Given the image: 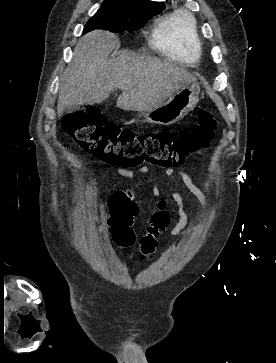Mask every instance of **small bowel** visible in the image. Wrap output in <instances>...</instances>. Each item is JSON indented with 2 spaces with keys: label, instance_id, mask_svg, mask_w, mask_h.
I'll list each match as a JSON object with an SVG mask.
<instances>
[{
  "label": "small bowel",
  "instance_id": "c3829d8e",
  "mask_svg": "<svg viewBox=\"0 0 276 363\" xmlns=\"http://www.w3.org/2000/svg\"><path fill=\"white\" fill-rule=\"evenodd\" d=\"M139 171L142 173H147L149 171V168L147 166H140ZM114 172L128 179L133 178L134 176L132 170L123 167L116 168ZM165 173L168 177H170L174 174V170L172 168H167ZM178 173L186 188L198 200V202L202 206L203 211L205 212L209 206L210 196H211V187L209 183L207 182L204 183L206 189L205 193L192 181V179L187 173H185L182 170H179ZM172 198L178 208L177 222L171 228L168 229V221H169L168 213L162 209L164 206V201H160L158 204L160 210L154 213L151 224L146 228L145 234L155 233V237L157 240V238L165 231L167 232V235L171 238L182 235H189L195 231L196 226L190 229L186 228L188 222V216L184 208V202L182 197L177 192H172ZM108 205L110 209L117 208L123 213H125L129 218L130 225H132L133 221L140 214V207L134 200V193L132 190H119L113 192L110 195ZM88 209L93 211L94 207L89 206ZM155 221H161L162 223H164V226L162 228L157 227L154 224Z\"/></svg>",
  "mask_w": 276,
  "mask_h": 363
}]
</instances>
